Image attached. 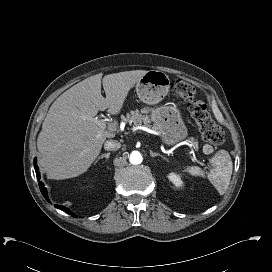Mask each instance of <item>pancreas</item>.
Masks as SVG:
<instances>
[{"mask_svg": "<svg viewBox=\"0 0 272 272\" xmlns=\"http://www.w3.org/2000/svg\"><path fill=\"white\" fill-rule=\"evenodd\" d=\"M149 109L148 108H143L140 111L136 109L135 111H131L130 113L127 114L126 121L130 125H142L145 127H150L151 119L148 116ZM191 141L194 143V145L197 147L198 143L194 142V139H191Z\"/></svg>", "mask_w": 272, "mask_h": 272, "instance_id": "obj_1", "label": "pancreas"}]
</instances>
